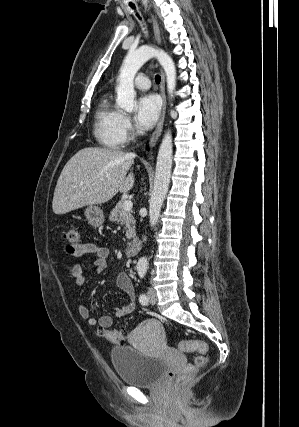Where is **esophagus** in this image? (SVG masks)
Here are the masks:
<instances>
[{
	"label": "esophagus",
	"instance_id": "34e87169",
	"mask_svg": "<svg viewBox=\"0 0 299 427\" xmlns=\"http://www.w3.org/2000/svg\"><path fill=\"white\" fill-rule=\"evenodd\" d=\"M150 22L152 23L155 40L157 41L158 44H160L161 43L160 29H159L156 18L152 14L150 15ZM160 92H161V96H162V110H161V114H160L158 124H157L154 132L152 133V135L150 137L149 143L151 146H154L157 143V141L161 135V132H162L164 118H165L166 95H165V76H164L163 71H161Z\"/></svg>",
	"mask_w": 299,
	"mask_h": 427
}]
</instances>
